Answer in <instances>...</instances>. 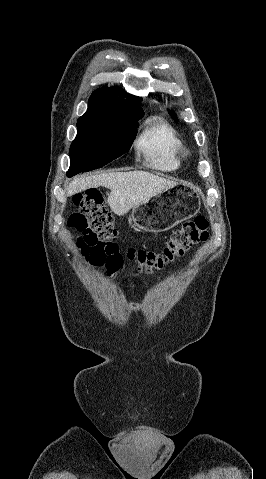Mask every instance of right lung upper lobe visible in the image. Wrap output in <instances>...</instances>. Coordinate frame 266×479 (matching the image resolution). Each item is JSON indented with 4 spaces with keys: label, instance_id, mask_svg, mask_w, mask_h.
Wrapping results in <instances>:
<instances>
[{
    "label": "right lung upper lobe",
    "instance_id": "obj_1",
    "mask_svg": "<svg viewBox=\"0 0 266 479\" xmlns=\"http://www.w3.org/2000/svg\"><path fill=\"white\" fill-rule=\"evenodd\" d=\"M125 97L133 100L123 99ZM141 100V97L127 94L119 88H99L90 96L88 109L79 120L102 119L124 122L136 121L144 116L143 109L136 103Z\"/></svg>",
    "mask_w": 266,
    "mask_h": 479
}]
</instances>
